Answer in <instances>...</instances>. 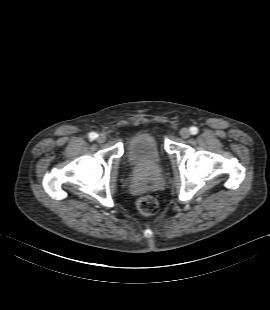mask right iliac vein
Listing matches in <instances>:
<instances>
[{
    "mask_svg": "<svg viewBox=\"0 0 270 310\" xmlns=\"http://www.w3.org/2000/svg\"><path fill=\"white\" fill-rule=\"evenodd\" d=\"M106 140V136L104 134H99L97 137V142L98 143H103Z\"/></svg>",
    "mask_w": 270,
    "mask_h": 310,
    "instance_id": "right-iliac-vein-1",
    "label": "right iliac vein"
}]
</instances>
